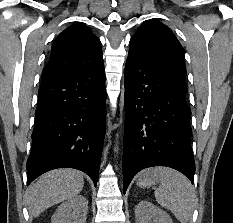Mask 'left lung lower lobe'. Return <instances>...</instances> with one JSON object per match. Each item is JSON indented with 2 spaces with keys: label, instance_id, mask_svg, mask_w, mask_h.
<instances>
[{
  "label": "left lung lower lobe",
  "instance_id": "0a47b994",
  "mask_svg": "<svg viewBox=\"0 0 233 223\" xmlns=\"http://www.w3.org/2000/svg\"><path fill=\"white\" fill-rule=\"evenodd\" d=\"M123 192L134 175L152 166L174 168L193 183L191 109L185 78L129 49L125 67Z\"/></svg>",
  "mask_w": 233,
  "mask_h": 223
}]
</instances>
